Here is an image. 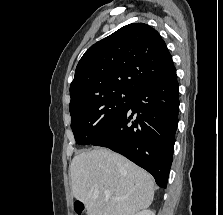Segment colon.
<instances>
[{
  "mask_svg": "<svg viewBox=\"0 0 223 215\" xmlns=\"http://www.w3.org/2000/svg\"><path fill=\"white\" fill-rule=\"evenodd\" d=\"M74 212H75L74 215H86L85 208L81 203L74 204Z\"/></svg>",
  "mask_w": 223,
  "mask_h": 215,
  "instance_id": "5ec220e1",
  "label": "colon"
}]
</instances>
